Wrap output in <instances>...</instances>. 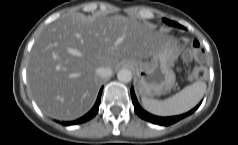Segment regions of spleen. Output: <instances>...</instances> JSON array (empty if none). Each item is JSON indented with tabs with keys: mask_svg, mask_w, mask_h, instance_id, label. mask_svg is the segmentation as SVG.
I'll list each match as a JSON object with an SVG mask.
<instances>
[{
	"mask_svg": "<svg viewBox=\"0 0 238 145\" xmlns=\"http://www.w3.org/2000/svg\"><path fill=\"white\" fill-rule=\"evenodd\" d=\"M206 87L205 82L197 81L166 100L158 101L147 97H142L141 100L143 107L154 115H178L196 106L203 98Z\"/></svg>",
	"mask_w": 238,
	"mask_h": 145,
	"instance_id": "spleen-1",
	"label": "spleen"
}]
</instances>
